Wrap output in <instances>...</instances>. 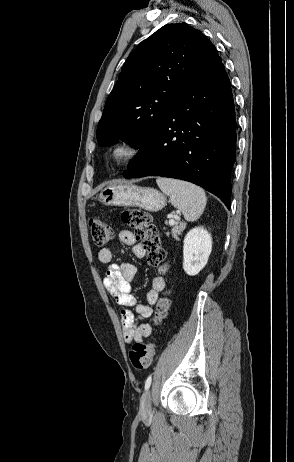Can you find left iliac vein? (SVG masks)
I'll use <instances>...</instances> for the list:
<instances>
[{"label":"left iliac vein","mask_w":294,"mask_h":462,"mask_svg":"<svg viewBox=\"0 0 294 462\" xmlns=\"http://www.w3.org/2000/svg\"><path fill=\"white\" fill-rule=\"evenodd\" d=\"M152 411L151 407V393L150 391H146L142 397L140 402V413L142 415H148Z\"/></svg>","instance_id":"1"}]
</instances>
